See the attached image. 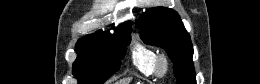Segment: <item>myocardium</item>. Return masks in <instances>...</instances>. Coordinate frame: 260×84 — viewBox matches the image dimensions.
<instances>
[{"label":"myocardium","mask_w":260,"mask_h":84,"mask_svg":"<svg viewBox=\"0 0 260 84\" xmlns=\"http://www.w3.org/2000/svg\"><path fill=\"white\" fill-rule=\"evenodd\" d=\"M170 63L169 59L165 54H159L156 58L155 72L158 76L162 77L169 71Z\"/></svg>","instance_id":"myocardium-1"}]
</instances>
